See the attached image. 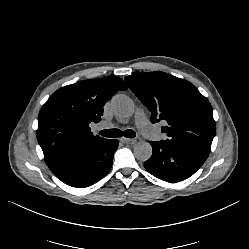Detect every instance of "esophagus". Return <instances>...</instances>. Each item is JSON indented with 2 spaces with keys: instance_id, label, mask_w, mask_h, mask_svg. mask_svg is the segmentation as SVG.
Segmentation results:
<instances>
[{
  "instance_id": "obj_1",
  "label": "esophagus",
  "mask_w": 249,
  "mask_h": 249,
  "mask_svg": "<svg viewBox=\"0 0 249 249\" xmlns=\"http://www.w3.org/2000/svg\"><path fill=\"white\" fill-rule=\"evenodd\" d=\"M120 141H121L122 143H134V142H135V140H133V139H128V138H121Z\"/></svg>"
}]
</instances>
